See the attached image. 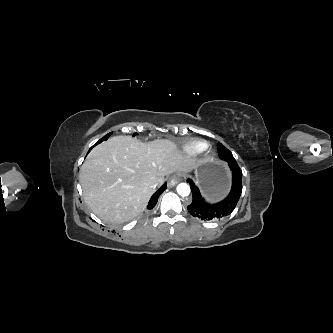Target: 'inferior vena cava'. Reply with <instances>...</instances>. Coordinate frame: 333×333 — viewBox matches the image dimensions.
<instances>
[{
    "label": "inferior vena cava",
    "instance_id": "1",
    "mask_svg": "<svg viewBox=\"0 0 333 333\" xmlns=\"http://www.w3.org/2000/svg\"><path fill=\"white\" fill-rule=\"evenodd\" d=\"M158 186V183H155L152 187L155 189Z\"/></svg>",
    "mask_w": 333,
    "mask_h": 333
}]
</instances>
